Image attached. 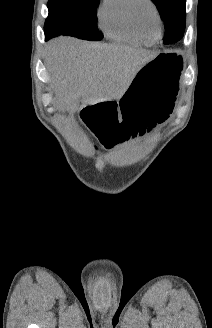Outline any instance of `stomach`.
I'll return each mask as SVG.
<instances>
[{"instance_id": "obj_1", "label": "stomach", "mask_w": 212, "mask_h": 328, "mask_svg": "<svg viewBox=\"0 0 212 328\" xmlns=\"http://www.w3.org/2000/svg\"><path fill=\"white\" fill-rule=\"evenodd\" d=\"M182 64L178 53L157 54L140 67L120 99L87 102L80 119L110 149L142 136L169 118Z\"/></svg>"}]
</instances>
